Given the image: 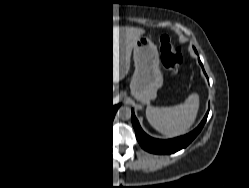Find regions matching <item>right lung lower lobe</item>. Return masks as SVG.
<instances>
[{
  "label": "right lung lower lobe",
  "mask_w": 249,
  "mask_h": 188,
  "mask_svg": "<svg viewBox=\"0 0 249 188\" xmlns=\"http://www.w3.org/2000/svg\"><path fill=\"white\" fill-rule=\"evenodd\" d=\"M64 49L66 45L57 43L47 52L46 129L53 144L62 151L74 157L93 156L108 140L119 105H110L103 120L97 118L93 123L92 119L90 127L83 132L80 84L77 74L65 68Z\"/></svg>",
  "instance_id": "right-lung-lower-lobe-1"
}]
</instances>
